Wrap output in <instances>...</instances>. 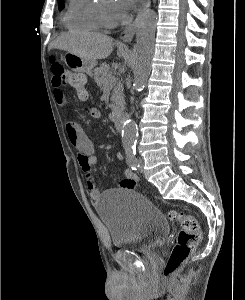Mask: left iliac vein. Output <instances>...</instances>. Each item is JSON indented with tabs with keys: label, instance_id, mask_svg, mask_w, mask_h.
Here are the masks:
<instances>
[{
	"label": "left iliac vein",
	"instance_id": "4c4485c4",
	"mask_svg": "<svg viewBox=\"0 0 245 300\" xmlns=\"http://www.w3.org/2000/svg\"><path fill=\"white\" fill-rule=\"evenodd\" d=\"M138 164H139V170L142 172L144 166V160L142 158H139Z\"/></svg>",
	"mask_w": 245,
	"mask_h": 300
}]
</instances>
